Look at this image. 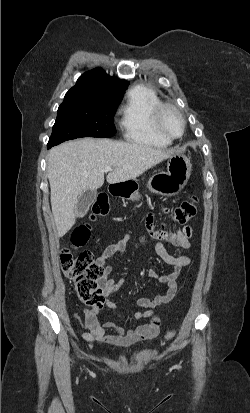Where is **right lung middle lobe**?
I'll list each match as a JSON object with an SVG mask.
<instances>
[{"mask_svg":"<svg viewBox=\"0 0 250 413\" xmlns=\"http://www.w3.org/2000/svg\"><path fill=\"white\" fill-rule=\"evenodd\" d=\"M121 95L70 89L58 108L47 146L80 137H112L113 117Z\"/></svg>","mask_w":250,"mask_h":413,"instance_id":"1","label":"right lung middle lobe"}]
</instances>
